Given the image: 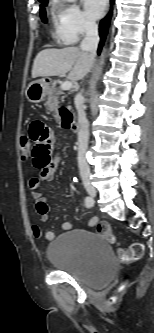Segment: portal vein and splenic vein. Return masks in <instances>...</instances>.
I'll return each mask as SVG.
<instances>
[{
    "label": "portal vein and splenic vein",
    "mask_w": 154,
    "mask_h": 333,
    "mask_svg": "<svg viewBox=\"0 0 154 333\" xmlns=\"http://www.w3.org/2000/svg\"><path fill=\"white\" fill-rule=\"evenodd\" d=\"M73 87V84L71 81H65L61 84V89L62 90H69Z\"/></svg>",
    "instance_id": "portal-vein-and-splenic-vein-1"
}]
</instances>
